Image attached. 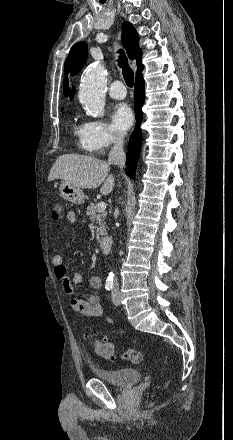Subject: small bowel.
<instances>
[{
  "mask_svg": "<svg viewBox=\"0 0 233 440\" xmlns=\"http://www.w3.org/2000/svg\"><path fill=\"white\" fill-rule=\"evenodd\" d=\"M66 218L70 224H75L77 215L74 211H69ZM55 277L61 282L62 289L69 299V304L72 310L82 316L100 319L104 316V308L101 305L100 299L95 294H87L84 296L75 295L73 292V285L80 284L83 281V276L80 272L74 271L71 275L68 273V268L64 264V258L61 254H56L52 259ZM88 284L95 290L102 287V280L100 276L90 274L87 277ZM108 322H112V318H107Z\"/></svg>",
  "mask_w": 233,
  "mask_h": 440,
  "instance_id": "small-bowel-1",
  "label": "small bowel"
}]
</instances>
